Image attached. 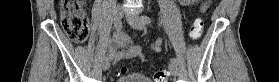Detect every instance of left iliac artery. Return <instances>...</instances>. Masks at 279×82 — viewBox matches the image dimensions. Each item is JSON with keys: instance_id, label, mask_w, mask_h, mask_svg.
<instances>
[{"instance_id": "obj_1", "label": "left iliac artery", "mask_w": 279, "mask_h": 82, "mask_svg": "<svg viewBox=\"0 0 279 82\" xmlns=\"http://www.w3.org/2000/svg\"><path fill=\"white\" fill-rule=\"evenodd\" d=\"M141 20L144 21L145 23H150L151 22V19L149 16H141ZM171 62L172 63H177V59L176 58H172L171 59Z\"/></svg>"}]
</instances>
